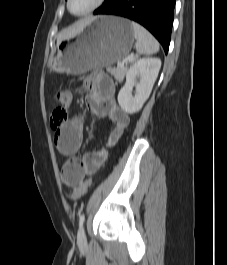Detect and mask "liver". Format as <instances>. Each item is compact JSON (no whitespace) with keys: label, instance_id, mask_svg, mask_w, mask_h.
Listing matches in <instances>:
<instances>
[{"label":"liver","instance_id":"6515ba94","mask_svg":"<svg viewBox=\"0 0 227 265\" xmlns=\"http://www.w3.org/2000/svg\"><path fill=\"white\" fill-rule=\"evenodd\" d=\"M84 27H85V23L81 22V23H77L76 25H73V26L61 31L60 34L58 35L57 46L63 40L72 38V37L76 36L77 34H79L81 31H83Z\"/></svg>","mask_w":227,"mask_h":265}]
</instances>
